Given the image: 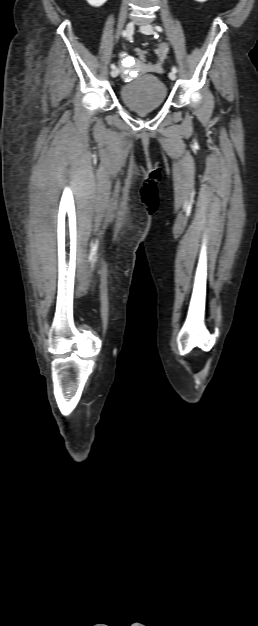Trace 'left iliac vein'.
Segmentation results:
<instances>
[{"label": "left iliac vein", "instance_id": "1", "mask_svg": "<svg viewBox=\"0 0 258 626\" xmlns=\"http://www.w3.org/2000/svg\"><path fill=\"white\" fill-rule=\"evenodd\" d=\"M140 31H141L143 34H146V35L153 34V28H152V26H151L150 24H144V25H142V26L140 27ZM168 76H169V78H170L171 80H176V74H175L173 71L169 72Z\"/></svg>", "mask_w": 258, "mask_h": 626}]
</instances>
